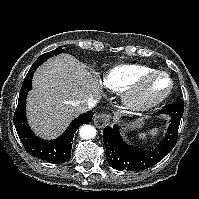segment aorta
I'll list each match as a JSON object with an SVG mask.
<instances>
[{
    "instance_id": "1",
    "label": "aorta",
    "mask_w": 199,
    "mask_h": 199,
    "mask_svg": "<svg viewBox=\"0 0 199 199\" xmlns=\"http://www.w3.org/2000/svg\"><path fill=\"white\" fill-rule=\"evenodd\" d=\"M79 134L83 139H91L96 136V129L91 125H83L80 128Z\"/></svg>"
}]
</instances>
